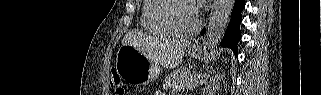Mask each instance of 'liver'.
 <instances>
[{
    "mask_svg": "<svg viewBox=\"0 0 321 95\" xmlns=\"http://www.w3.org/2000/svg\"><path fill=\"white\" fill-rule=\"evenodd\" d=\"M132 45L140 52L165 68H176L182 61L189 44L187 40L154 39L138 31H129L122 45Z\"/></svg>",
    "mask_w": 321,
    "mask_h": 95,
    "instance_id": "liver-1",
    "label": "liver"
}]
</instances>
